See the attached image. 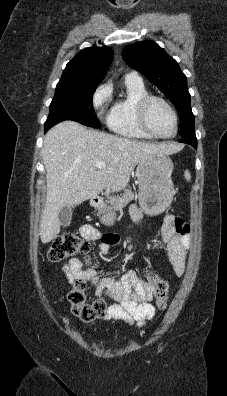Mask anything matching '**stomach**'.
I'll return each mask as SVG.
<instances>
[{
  "label": "stomach",
  "instance_id": "stomach-1",
  "mask_svg": "<svg viewBox=\"0 0 227 396\" xmlns=\"http://www.w3.org/2000/svg\"><path fill=\"white\" fill-rule=\"evenodd\" d=\"M173 167L172 160L166 154H154L138 163L135 172L139 185L138 200L147 215L162 213L172 202ZM95 207L103 213L101 221L104 224H113L115 214L112 211L106 210L102 203H95Z\"/></svg>",
  "mask_w": 227,
  "mask_h": 396
}]
</instances>
